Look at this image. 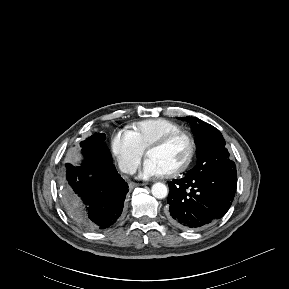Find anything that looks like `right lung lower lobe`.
I'll list each match as a JSON object with an SVG mask.
<instances>
[{
  "label": "right lung lower lobe",
  "instance_id": "obj_1",
  "mask_svg": "<svg viewBox=\"0 0 289 289\" xmlns=\"http://www.w3.org/2000/svg\"><path fill=\"white\" fill-rule=\"evenodd\" d=\"M80 167L71 165L65 178L69 205L87 229H106L121 216L128 185L117 173L112 158L84 153Z\"/></svg>",
  "mask_w": 289,
  "mask_h": 289
}]
</instances>
